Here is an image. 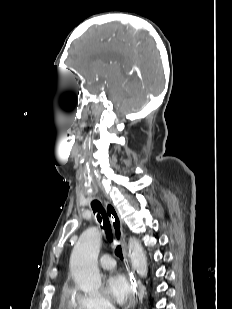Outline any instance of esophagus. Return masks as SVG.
I'll return each mask as SVG.
<instances>
[{
	"label": "esophagus",
	"mask_w": 232,
	"mask_h": 309,
	"mask_svg": "<svg viewBox=\"0 0 232 309\" xmlns=\"http://www.w3.org/2000/svg\"><path fill=\"white\" fill-rule=\"evenodd\" d=\"M105 209H106L107 215L110 218L112 228H113V232H114V236L122 247L124 261L126 263V267H127V271H128V277H129V281H130L131 288H132V297L129 301L128 308L134 309L135 306L137 305V302H138V299H139V290H138V283L135 279V276H134L132 269L130 268V264H129V260H128L127 245H126V242H125V235H124V232H123L122 221H121V218H120L116 208L110 202H105Z\"/></svg>",
	"instance_id": "1"
}]
</instances>
